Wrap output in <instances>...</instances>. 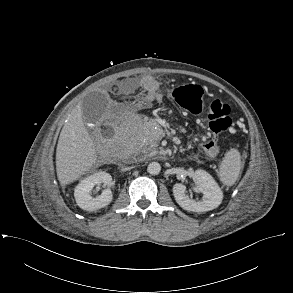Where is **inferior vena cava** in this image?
Returning <instances> with one entry per match:
<instances>
[{"label": "inferior vena cava", "instance_id": "602c4592", "mask_svg": "<svg viewBox=\"0 0 293 293\" xmlns=\"http://www.w3.org/2000/svg\"><path fill=\"white\" fill-rule=\"evenodd\" d=\"M129 169H131V167H122V168H121L122 171H127V170H129Z\"/></svg>", "mask_w": 293, "mask_h": 293}]
</instances>
